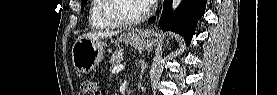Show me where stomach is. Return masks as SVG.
<instances>
[{"mask_svg":"<svg viewBox=\"0 0 277 95\" xmlns=\"http://www.w3.org/2000/svg\"><path fill=\"white\" fill-rule=\"evenodd\" d=\"M139 50L150 49L156 42L152 31L132 29L119 38ZM105 43L101 39L78 38L72 46V63L78 73L91 72L102 60Z\"/></svg>","mask_w":277,"mask_h":95,"instance_id":"stomach-1","label":"stomach"}]
</instances>
